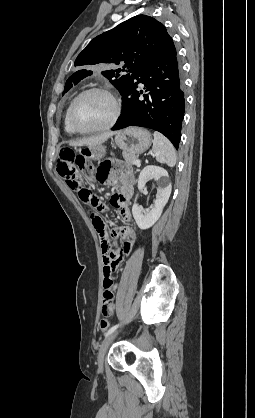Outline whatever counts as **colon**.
Masks as SVG:
<instances>
[{"label": "colon", "instance_id": "colon-1", "mask_svg": "<svg viewBox=\"0 0 255 418\" xmlns=\"http://www.w3.org/2000/svg\"><path fill=\"white\" fill-rule=\"evenodd\" d=\"M57 171L66 180L69 187L79 193L82 202L89 207L92 222L96 229L106 227L96 212L101 205L100 199L91 190L83 187V180L90 179L95 174L93 165L83 157L77 156L71 148L65 147L60 150ZM99 326L102 331H105L109 326L108 320L102 318Z\"/></svg>", "mask_w": 255, "mask_h": 418}]
</instances>
